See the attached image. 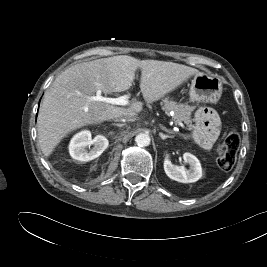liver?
Returning a JSON list of instances; mask_svg holds the SVG:
<instances>
[{"instance_id": "1", "label": "liver", "mask_w": 267, "mask_h": 267, "mask_svg": "<svg viewBox=\"0 0 267 267\" xmlns=\"http://www.w3.org/2000/svg\"><path fill=\"white\" fill-rule=\"evenodd\" d=\"M141 71L143 98L152 103L173 91L198 70L173 62L139 60L120 55L74 65L62 72L46 91L37 118L39 145L49 156L73 130L127 114H137L141 102L118 107L91 100L97 91L104 94L131 88L135 72Z\"/></svg>"}]
</instances>
